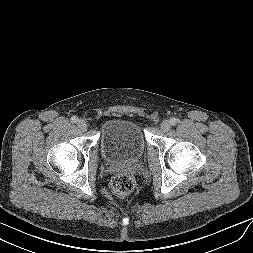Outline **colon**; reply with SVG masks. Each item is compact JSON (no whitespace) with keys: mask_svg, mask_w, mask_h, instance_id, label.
Returning a JSON list of instances; mask_svg holds the SVG:
<instances>
[{"mask_svg":"<svg viewBox=\"0 0 253 253\" xmlns=\"http://www.w3.org/2000/svg\"><path fill=\"white\" fill-rule=\"evenodd\" d=\"M134 186L135 181L129 174H119L115 176L112 181L113 190L119 195H126L130 193Z\"/></svg>","mask_w":253,"mask_h":253,"instance_id":"5ec220e1","label":"colon"}]
</instances>
